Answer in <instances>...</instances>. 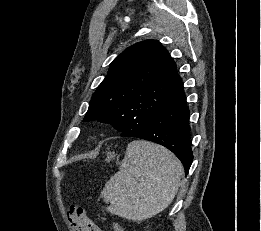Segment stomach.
Listing matches in <instances>:
<instances>
[{"mask_svg":"<svg viewBox=\"0 0 261 231\" xmlns=\"http://www.w3.org/2000/svg\"><path fill=\"white\" fill-rule=\"evenodd\" d=\"M115 156H116V155H115L114 152H109V153H107L106 161H110V160L114 159Z\"/></svg>","mask_w":261,"mask_h":231,"instance_id":"stomach-1","label":"stomach"}]
</instances>
